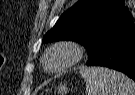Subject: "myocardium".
<instances>
[{
    "mask_svg": "<svg viewBox=\"0 0 135 95\" xmlns=\"http://www.w3.org/2000/svg\"><path fill=\"white\" fill-rule=\"evenodd\" d=\"M56 50L68 51L70 53V59L65 65H63L59 68H56V69H50V68H48L46 62H47L49 55ZM83 55H84V50H83L82 46L80 44H78L77 42L61 41V42L54 44L47 50V52L45 53V55L43 57L42 63H43L44 68L49 72H54V73L61 72V71L68 69L69 67L75 65L76 63H78L82 59Z\"/></svg>",
    "mask_w": 135,
    "mask_h": 95,
    "instance_id": "myocardium-1",
    "label": "myocardium"
}]
</instances>
